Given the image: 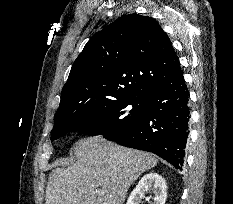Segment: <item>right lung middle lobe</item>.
Instances as JSON below:
<instances>
[{"mask_svg":"<svg viewBox=\"0 0 233 204\" xmlns=\"http://www.w3.org/2000/svg\"><path fill=\"white\" fill-rule=\"evenodd\" d=\"M147 96H135L106 102L89 110L81 111L68 119L54 124L51 140L69 131L99 135L110 139L132 127L145 113ZM131 105L132 107H127Z\"/></svg>","mask_w":233,"mask_h":204,"instance_id":"right-lung-middle-lobe-1","label":"right lung middle lobe"}]
</instances>
